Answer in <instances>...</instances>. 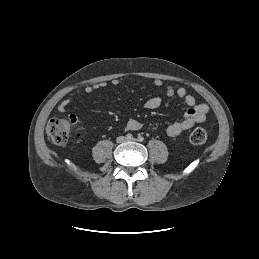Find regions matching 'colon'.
Here are the masks:
<instances>
[{"label": "colon", "mask_w": 259, "mask_h": 259, "mask_svg": "<svg viewBox=\"0 0 259 259\" xmlns=\"http://www.w3.org/2000/svg\"><path fill=\"white\" fill-rule=\"evenodd\" d=\"M77 120L75 114H70L67 118L51 119L46 127L48 139L58 145L65 144ZM189 139L192 144H203L207 139V133L203 128H196L191 132Z\"/></svg>", "instance_id": "5ec220e1"}]
</instances>
